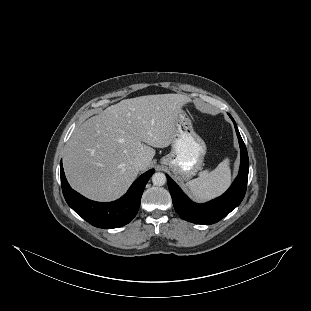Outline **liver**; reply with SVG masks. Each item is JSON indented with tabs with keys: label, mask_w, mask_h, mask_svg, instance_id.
<instances>
[{
	"label": "liver",
	"mask_w": 311,
	"mask_h": 311,
	"mask_svg": "<svg viewBox=\"0 0 311 311\" xmlns=\"http://www.w3.org/2000/svg\"><path fill=\"white\" fill-rule=\"evenodd\" d=\"M189 102L174 93L124 99L76 127L63 157L71 187L95 201L121 197L150 168L154 148L172 144L178 114ZM137 158L140 167L133 164Z\"/></svg>",
	"instance_id": "6515ba94"
}]
</instances>
